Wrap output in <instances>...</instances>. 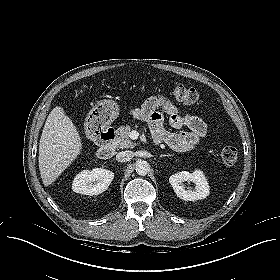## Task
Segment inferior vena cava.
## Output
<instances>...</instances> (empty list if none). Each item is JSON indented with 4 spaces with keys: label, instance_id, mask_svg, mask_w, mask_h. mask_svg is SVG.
Wrapping results in <instances>:
<instances>
[{
    "label": "inferior vena cava",
    "instance_id": "1",
    "mask_svg": "<svg viewBox=\"0 0 280 280\" xmlns=\"http://www.w3.org/2000/svg\"><path fill=\"white\" fill-rule=\"evenodd\" d=\"M133 156L134 153L132 151H121L116 155V160L119 162H128L133 158Z\"/></svg>",
    "mask_w": 280,
    "mask_h": 280
}]
</instances>
